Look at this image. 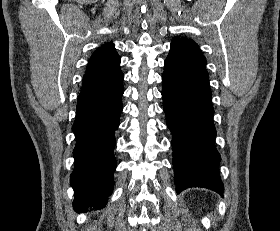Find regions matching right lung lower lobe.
<instances>
[{
	"instance_id": "obj_1",
	"label": "right lung lower lobe",
	"mask_w": 280,
	"mask_h": 231,
	"mask_svg": "<svg viewBox=\"0 0 280 231\" xmlns=\"http://www.w3.org/2000/svg\"><path fill=\"white\" fill-rule=\"evenodd\" d=\"M123 92V85H120L91 99L77 100L72 127L76 136L75 168L70 176L76 212L88 206L103 207L111 195L117 165L113 154L114 131L119 126L123 109Z\"/></svg>"
}]
</instances>
